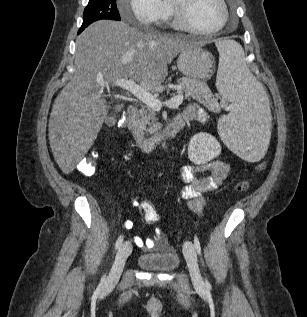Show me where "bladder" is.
<instances>
[{"instance_id": "bladder-1", "label": "bladder", "mask_w": 307, "mask_h": 317, "mask_svg": "<svg viewBox=\"0 0 307 317\" xmlns=\"http://www.w3.org/2000/svg\"><path fill=\"white\" fill-rule=\"evenodd\" d=\"M137 265L148 271H172L179 264V256L176 252H166L161 254H142L138 256Z\"/></svg>"}]
</instances>
